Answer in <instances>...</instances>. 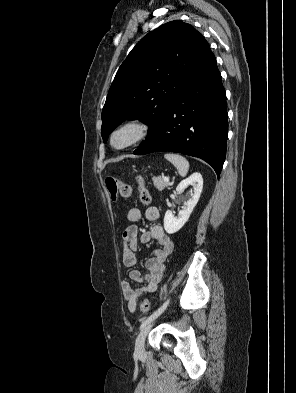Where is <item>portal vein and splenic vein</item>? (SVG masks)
Returning <instances> with one entry per match:
<instances>
[{
	"label": "portal vein and splenic vein",
	"mask_w": 296,
	"mask_h": 393,
	"mask_svg": "<svg viewBox=\"0 0 296 393\" xmlns=\"http://www.w3.org/2000/svg\"><path fill=\"white\" fill-rule=\"evenodd\" d=\"M165 181H170L169 177H164Z\"/></svg>",
	"instance_id": "portal-vein-and-splenic-vein-1"
}]
</instances>
